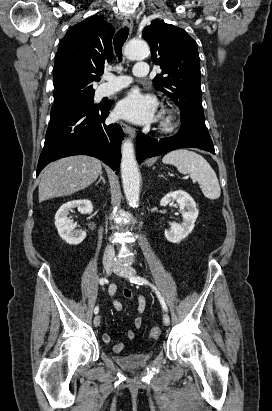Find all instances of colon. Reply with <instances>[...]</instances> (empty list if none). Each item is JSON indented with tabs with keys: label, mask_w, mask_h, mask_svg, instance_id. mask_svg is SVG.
Listing matches in <instances>:
<instances>
[{
	"label": "colon",
	"mask_w": 272,
	"mask_h": 411,
	"mask_svg": "<svg viewBox=\"0 0 272 411\" xmlns=\"http://www.w3.org/2000/svg\"><path fill=\"white\" fill-rule=\"evenodd\" d=\"M161 335V329L159 327H153L150 330V338L155 340L158 339Z\"/></svg>",
	"instance_id": "5ec220e1"
}]
</instances>
